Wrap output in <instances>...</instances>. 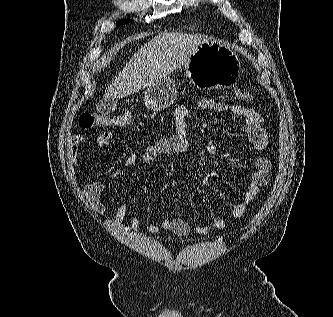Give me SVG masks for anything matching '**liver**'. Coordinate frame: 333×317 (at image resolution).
<instances>
[{"instance_id":"liver-1","label":"liver","mask_w":333,"mask_h":317,"mask_svg":"<svg viewBox=\"0 0 333 317\" xmlns=\"http://www.w3.org/2000/svg\"><path fill=\"white\" fill-rule=\"evenodd\" d=\"M211 40L201 34L165 32L157 35L130 59L105 91L104 99H119L168 77L184 64L197 46Z\"/></svg>"}]
</instances>
